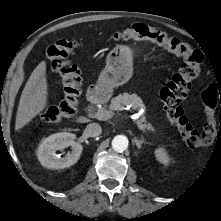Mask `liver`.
Here are the masks:
<instances>
[{
    "instance_id": "6515ba94",
    "label": "liver",
    "mask_w": 221,
    "mask_h": 221,
    "mask_svg": "<svg viewBox=\"0 0 221 221\" xmlns=\"http://www.w3.org/2000/svg\"><path fill=\"white\" fill-rule=\"evenodd\" d=\"M48 84L46 80V62H40L31 73L20 97L15 130L23 128L47 106ZM77 122L85 123L88 119L79 116Z\"/></svg>"
}]
</instances>
